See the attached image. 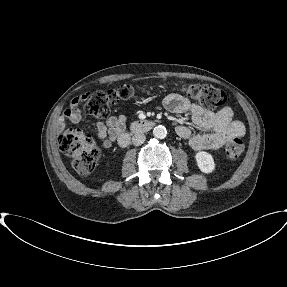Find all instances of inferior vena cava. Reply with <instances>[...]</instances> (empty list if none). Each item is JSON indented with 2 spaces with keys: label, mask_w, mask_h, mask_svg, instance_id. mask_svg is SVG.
Segmentation results:
<instances>
[{
  "label": "inferior vena cava",
  "mask_w": 287,
  "mask_h": 287,
  "mask_svg": "<svg viewBox=\"0 0 287 287\" xmlns=\"http://www.w3.org/2000/svg\"><path fill=\"white\" fill-rule=\"evenodd\" d=\"M146 140V136L144 134H135L133 137H132V143L135 145V146H139L141 144H143Z\"/></svg>",
  "instance_id": "obj_1"
}]
</instances>
